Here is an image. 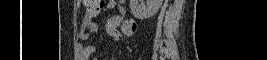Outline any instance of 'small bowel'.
<instances>
[{
  "instance_id": "obj_1",
  "label": "small bowel",
  "mask_w": 267,
  "mask_h": 60,
  "mask_svg": "<svg viewBox=\"0 0 267 60\" xmlns=\"http://www.w3.org/2000/svg\"><path fill=\"white\" fill-rule=\"evenodd\" d=\"M115 6L118 8V13L108 18L105 25L106 35L114 41H119L122 36H132L135 29H130V25L135 23L134 19L127 17V10L124 4L113 0L105 1L104 11L113 9ZM99 31L98 25L95 23V17L85 16L80 24L79 38L87 40L92 35L97 34ZM97 49V44L93 43L83 48L85 56L92 55Z\"/></svg>"
}]
</instances>
